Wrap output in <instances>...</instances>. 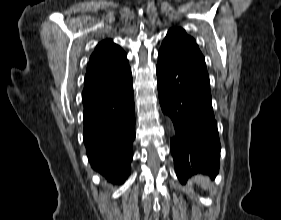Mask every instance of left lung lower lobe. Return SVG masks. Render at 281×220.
I'll return each instance as SVG.
<instances>
[{"label":"left lung lower lobe","instance_id":"1","mask_svg":"<svg viewBox=\"0 0 281 220\" xmlns=\"http://www.w3.org/2000/svg\"><path fill=\"white\" fill-rule=\"evenodd\" d=\"M156 73L161 108L174 124L170 145L178 179L215 177L221 147L206 64L181 53L159 54Z\"/></svg>","mask_w":281,"mask_h":220}]
</instances>
